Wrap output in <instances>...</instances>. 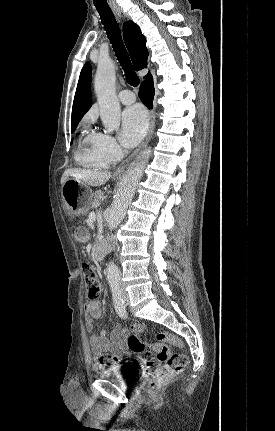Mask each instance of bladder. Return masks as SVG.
Segmentation results:
<instances>
[{
	"mask_svg": "<svg viewBox=\"0 0 275 431\" xmlns=\"http://www.w3.org/2000/svg\"><path fill=\"white\" fill-rule=\"evenodd\" d=\"M130 369H133V368L131 366H128V365L120 364V365H116L114 367H111L110 369H108L104 372H101L99 375L101 377H105V378L115 377L118 380H120L124 383H127V381H128V379H127L128 374L127 373Z\"/></svg>",
	"mask_w": 275,
	"mask_h": 431,
	"instance_id": "1",
	"label": "bladder"
}]
</instances>
